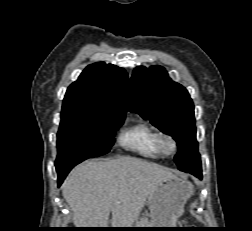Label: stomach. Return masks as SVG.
<instances>
[{"label": "stomach", "mask_w": 252, "mask_h": 231, "mask_svg": "<svg viewBox=\"0 0 252 231\" xmlns=\"http://www.w3.org/2000/svg\"><path fill=\"white\" fill-rule=\"evenodd\" d=\"M193 192L190 182L176 176L162 182L148 199L150 220L142 221L137 228H178L177 218Z\"/></svg>", "instance_id": "0dacf381"}]
</instances>
